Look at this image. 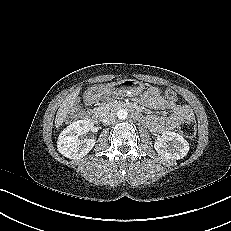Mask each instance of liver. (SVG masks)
<instances>
[{
  "mask_svg": "<svg viewBox=\"0 0 231 231\" xmlns=\"http://www.w3.org/2000/svg\"><path fill=\"white\" fill-rule=\"evenodd\" d=\"M79 91L72 92L71 94L67 95L63 103L60 105L55 118V126L59 128L66 120L67 115L73 108Z\"/></svg>",
  "mask_w": 231,
  "mask_h": 231,
  "instance_id": "1",
  "label": "liver"
}]
</instances>
